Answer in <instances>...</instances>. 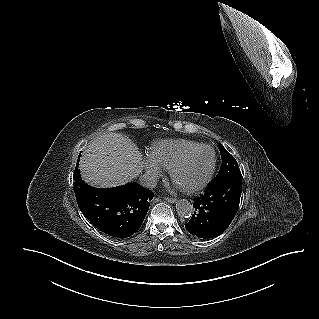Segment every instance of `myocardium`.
<instances>
[{
  "instance_id": "f54148a6",
  "label": "myocardium",
  "mask_w": 319,
  "mask_h": 319,
  "mask_svg": "<svg viewBox=\"0 0 319 319\" xmlns=\"http://www.w3.org/2000/svg\"><path fill=\"white\" fill-rule=\"evenodd\" d=\"M202 148L210 149L212 154H213V161H212L211 167H210L206 177L204 178V180L202 182H200L198 185H196L192 188H181V190L186 194L198 193L201 190H203L204 188H206L208 186V184L211 182L213 175H214V172H215V169H216V165H217V154H216L215 149L208 144H199V145L189 149L185 153H183L170 168V177H171L172 181L174 183H176L175 182V175H176L177 171L187 162V160L194 153H196L198 150H200Z\"/></svg>"
}]
</instances>
